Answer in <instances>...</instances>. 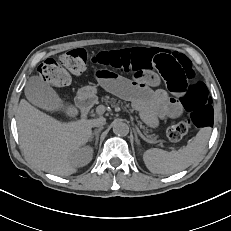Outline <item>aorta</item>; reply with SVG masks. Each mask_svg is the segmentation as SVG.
Here are the masks:
<instances>
[{"instance_id":"obj_1","label":"aorta","mask_w":231,"mask_h":231,"mask_svg":"<svg viewBox=\"0 0 231 231\" xmlns=\"http://www.w3.org/2000/svg\"><path fill=\"white\" fill-rule=\"evenodd\" d=\"M113 132L118 136H126L129 133V126L122 121H115L113 123Z\"/></svg>"}]
</instances>
